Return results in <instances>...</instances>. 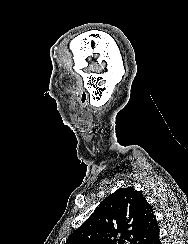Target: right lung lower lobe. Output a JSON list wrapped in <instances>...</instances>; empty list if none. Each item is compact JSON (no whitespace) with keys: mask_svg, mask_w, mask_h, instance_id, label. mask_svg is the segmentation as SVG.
I'll return each instance as SVG.
<instances>
[{"mask_svg":"<svg viewBox=\"0 0 188 244\" xmlns=\"http://www.w3.org/2000/svg\"><path fill=\"white\" fill-rule=\"evenodd\" d=\"M144 244H160L158 225L151 231Z\"/></svg>","mask_w":188,"mask_h":244,"instance_id":"obj_1","label":"right lung lower lobe"}]
</instances>
